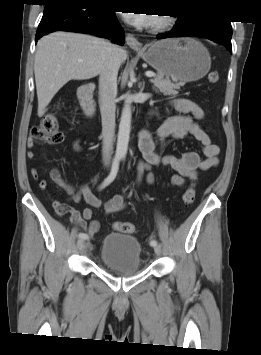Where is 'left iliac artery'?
Listing matches in <instances>:
<instances>
[{
  "label": "left iliac artery",
  "mask_w": 261,
  "mask_h": 355,
  "mask_svg": "<svg viewBox=\"0 0 261 355\" xmlns=\"http://www.w3.org/2000/svg\"><path fill=\"white\" fill-rule=\"evenodd\" d=\"M150 245L154 247L155 245H157V241L154 240V239H152V240L150 241Z\"/></svg>",
  "instance_id": "1"
}]
</instances>
